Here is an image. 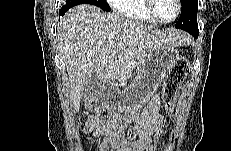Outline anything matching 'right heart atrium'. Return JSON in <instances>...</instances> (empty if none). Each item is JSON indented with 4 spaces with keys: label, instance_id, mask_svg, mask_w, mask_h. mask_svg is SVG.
I'll return each instance as SVG.
<instances>
[{
    "label": "right heart atrium",
    "instance_id": "1",
    "mask_svg": "<svg viewBox=\"0 0 231 151\" xmlns=\"http://www.w3.org/2000/svg\"><path fill=\"white\" fill-rule=\"evenodd\" d=\"M120 0H110L109 3L115 7Z\"/></svg>",
    "mask_w": 231,
    "mask_h": 151
}]
</instances>
